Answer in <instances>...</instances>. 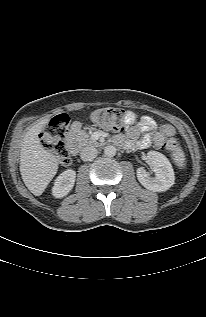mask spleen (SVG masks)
Returning a JSON list of instances; mask_svg holds the SVG:
<instances>
[{"mask_svg": "<svg viewBox=\"0 0 206 317\" xmlns=\"http://www.w3.org/2000/svg\"><path fill=\"white\" fill-rule=\"evenodd\" d=\"M172 156H173V160L175 161V163H176L178 166L182 167V166L184 165V160H185V158H184V153H183V151H182L181 149H177V150L172 154Z\"/></svg>", "mask_w": 206, "mask_h": 317, "instance_id": "3e777b00", "label": "spleen"}]
</instances>
